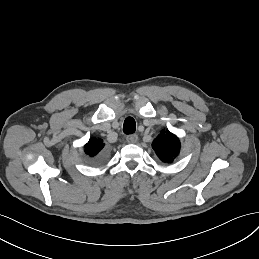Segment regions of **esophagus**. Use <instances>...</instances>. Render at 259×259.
<instances>
[{
  "label": "esophagus",
  "instance_id": "1",
  "mask_svg": "<svg viewBox=\"0 0 259 259\" xmlns=\"http://www.w3.org/2000/svg\"><path fill=\"white\" fill-rule=\"evenodd\" d=\"M138 139V136L136 134H131L126 137V140L128 143H135Z\"/></svg>",
  "mask_w": 259,
  "mask_h": 259
}]
</instances>
